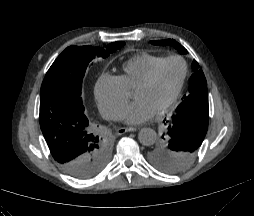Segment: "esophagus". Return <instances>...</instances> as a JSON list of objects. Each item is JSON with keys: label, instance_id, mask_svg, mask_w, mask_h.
Here are the masks:
<instances>
[{"label": "esophagus", "instance_id": "1", "mask_svg": "<svg viewBox=\"0 0 254 216\" xmlns=\"http://www.w3.org/2000/svg\"><path fill=\"white\" fill-rule=\"evenodd\" d=\"M137 130V128H135V127H120V128H118L117 129V134L118 135H122V134H125V133H127V132H133V131H136Z\"/></svg>", "mask_w": 254, "mask_h": 216}]
</instances>
